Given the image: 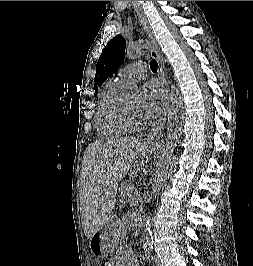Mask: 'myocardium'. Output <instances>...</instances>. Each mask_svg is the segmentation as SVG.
I'll use <instances>...</instances> for the list:
<instances>
[{
    "label": "myocardium",
    "instance_id": "obj_1",
    "mask_svg": "<svg viewBox=\"0 0 253 266\" xmlns=\"http://www.w3.org/2000/svg\"><path fill=\"white\" fill-rule=\"evenodd\" d=\"M127 95L128 94H124L118 104L117 108L118 117L124 125H126L130 129H136L142 123V119L130 112L127 105Z\"/></svg>",
    "mask_w": 253,
    "mask_h": 266
}]
</instances>
